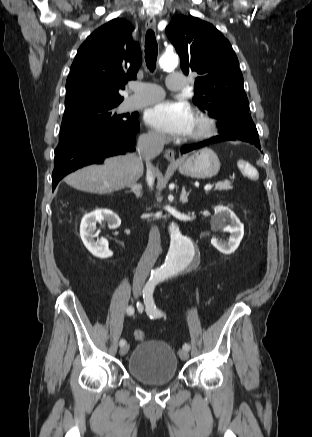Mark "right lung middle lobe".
<instances>
[{
  "label": "right lung middle lobe",
  "instance_id": "dd1d6c3e",
  "mask_svg": "<svg viewBox=\"0 0 312 437\" xmlns=\"http://www.w3.org/2000/svg\"><path fill=\"white\" fill-rule=\"evenodd\" d=\"M116 104H81L65 109L61 124L59 143L90 134L103 129L123 126L136 116L118 115Z\"/></svg>",
  "mask_w": 312,
  "mask_h": 437
}]
</instances>
